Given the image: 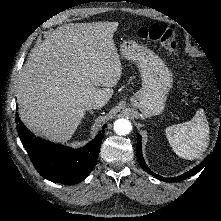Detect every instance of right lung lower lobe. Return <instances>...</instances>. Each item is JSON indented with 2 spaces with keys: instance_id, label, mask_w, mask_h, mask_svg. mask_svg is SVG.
I'll return each mask as SVG.
<instances>
[{
  "instance_id": "98d812e1",
  "label": "right lung lower lobe",
  "mask_w": 221,
  "mask_h": 221,
  "mask_svg": "<svg viewBox=\"0 0 221 221\" xmlns=\"http://www.w3.org/2000/svg\"><path fill=\"white\" fill-rule=\"evenodd\" d=\"M16 123L23 146L36 170L45 179L68 185L76 184L87 177L97 162L104 131L99 132L86 146L72 149L36 138L18 116Z\"/></svg>"
}]
</instances>
